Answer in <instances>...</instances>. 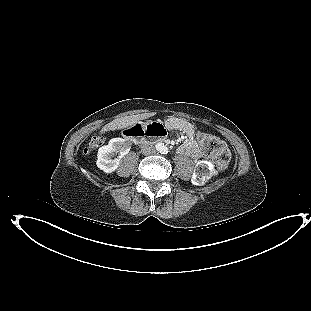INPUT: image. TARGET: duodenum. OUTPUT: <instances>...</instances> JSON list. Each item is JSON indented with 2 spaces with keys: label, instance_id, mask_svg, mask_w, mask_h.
<instances>
[{
  "label": "duodenum",
  "instance_id": "obj_1",
  "mask_svg": "<svg viewBox=\"0 0 311 311\" xmlns=\"http://www.w3.org/2000/svg\"><path fill=\"white\" fill-rule=\"evenodd\" d=\"M129 140L133 142L134 144H141L142 142H145L149 140L150 138H154L157 140H163L162 136L157 134L156 129H150V128H135L131 129L126 133ZM146 137V138H144Z\"/></svg>",
  "mask_w": 311,
  "mask_h": 311
}]
</instances>
